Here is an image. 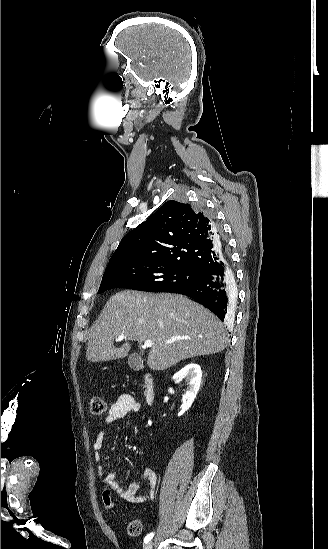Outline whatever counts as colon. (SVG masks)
<instances>
[{
	"label": "colon",
	"instance_id": "colon-1",
	"mask_svg": "<svg viewBox=\"0 0 328 549\" xmlns=\"http://www.w3.org/2000/svg\"><path fill=\"white\" fill-rule=\"evenodd\" d=\"M89 410L93 415L103 414L106 411V403L103 400V398L98 395L91 396L89 399ZM101 498H102L103 507L106 510L113 511L115 509L114 502L112 500L110 491L108 489H104L102 491ZM127 530L131 536L140 535L142 532L141 521L137 519L131 520L128 524Z\"/></svg>",
	"mask_w": 328,
	"mask_h": 549
}]
</instances>
